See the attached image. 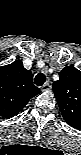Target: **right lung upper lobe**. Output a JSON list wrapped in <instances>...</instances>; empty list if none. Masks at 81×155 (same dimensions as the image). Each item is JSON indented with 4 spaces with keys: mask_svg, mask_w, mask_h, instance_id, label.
Returning <instances> with one entry per match:
<instances>
[{
    "mask_svg": "<svg viewBox=\"0 0 81 155\" xmlns=\"http://www.w3.org/2000/svg\"><path fill=\"white\" fill-rule=\"evenodd\" d=\"M33 84V75L17 60L0 68V115L5 118L18 114L29 99L40 94Z\"/></svg>",
    "mask_w": 81,
    "mask_h": 155,
    "instance_id": "cb5924a9",
    "label": "right lung upper lobe"
}]
</instances>
